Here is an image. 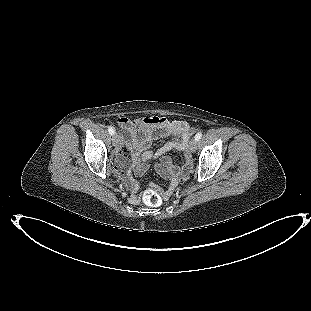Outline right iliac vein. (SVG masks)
Segmentation results:
<instances>
[{
    "instance_id": "63e3f726",
    "label": "right iliac vein",
    "mask_w": 311,
    "mask_h": 311,
    "mask_svg": "<svg viewBox=\"0 0 311 311\" xmlns=\"http://www.w3.org/2000/svg\"><path fill=\"white\" fill-rule=\"evenodd\" d=\"M120 141L119 135L117 133H114L112 136V144L113 146H118Z\"/></svg>"
}]
</instances>
